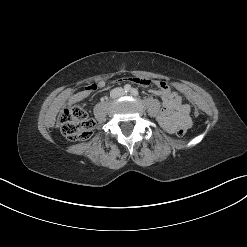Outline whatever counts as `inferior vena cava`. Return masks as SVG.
I'll use <instances>...</instances> for the list:
<instances>
[{
  "mask_svg": "<svg viewBox=\"0 0 247 247\" xmlns=\"http://www.w3.org/2000/svg\"><path fill=\"white\" fill-rule=\"evenodd\" d=\"M123 94H124V90L121 87H117V88L111 90V92H110V96L112 98H117L119 96H122Z\"/></svg>",
  "mask_w": 247,
  "mask_h": 247,
  "instance_id": "1",
  "label": "inferior vena cava"
}]
</instances>
